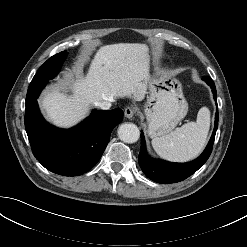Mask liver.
Here are the masks:
<instances>
[{
  "instance_id": "liver-1",
  "label": "liver",
  "mask_w": 247,
  "mask_h": 247,
  "mask_svg": "<svg viewBox=\"0 0 247 247\" xmlns=\"http://www.w3.org/2000/svg\"><path fill=\"white\" fill-rule=\"evenodd\" d=\"M149 61L147 46L140 43H119L102 46L96 52L88 73L82 66L75 79L66 85L71 94L52 89L45 92L41 106L48 119L56 126L76 125L90 107L117 97L144 99Z\"/></svg>"
}]
</instances>
